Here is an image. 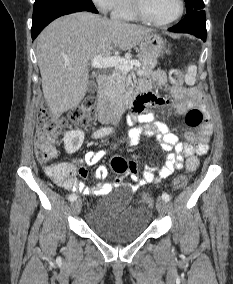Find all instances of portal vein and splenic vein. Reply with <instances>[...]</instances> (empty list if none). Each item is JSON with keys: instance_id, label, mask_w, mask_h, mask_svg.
Segmentation results:
<instances>
[{"instance_id": "1", "label": "portal vein and splenic vein", "mask_w": 233, "mask_h": 284, "mask_svg": "<svg viewBox=\"0 0 233 284\" xmlns=\"http://www.w3.org/2000/svg\"><path fill=\"white\" fill-rule=\"evenodd\" d=\"M140 65L137 60H128L117 56L105 58L98 55L91 60V66L94 68L107 69L115 67L126 72L130 71L133 66L140 67Z\"/></svg>"}]
</instances>
